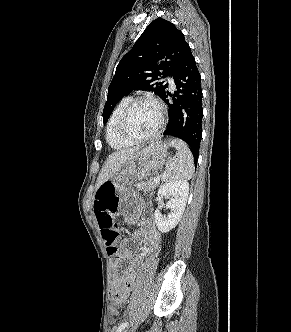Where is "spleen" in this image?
<instances>
[{
	"label": "spleen",
	"mask_w": 291,
	"mask_h": 332,
	"mask_svg": "<svg viewBox=\"0 0 291 332\" xmlns=\"http://www.w3.org/2000/svg\"><path fill=\"white\" fill-rule=\"evenodd\" d=\"M169 145L175 147L177 153L169 158L165 171L161 174V180L172 182L191 179L194 173V159L187 144L175 138L169 142Z\"/></svg>",
	"instance_id": "3e777b00"
}]
</instances>
